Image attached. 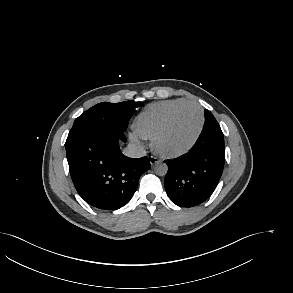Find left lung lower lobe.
Returning <instances> with one entry per match:
<instances>
[{
  "label": "left lung lower lobe",
  "instance_id": "1",
  "mask_svg": "<svg viewBox=\"0 0 293 293\" xmlns=\"http://www.w3.org/2000/svg\"><path fill=\"white\" fill-rule=\"evenodd\" d=\"M224 162V137L219 124L204 126L188 153L165 160L168 172L164 183L168 196L181 207L204 202L215 190Z\"/></svg>",
  "mask_w": 293,
  "mask_h": 293
}]
</instances>
